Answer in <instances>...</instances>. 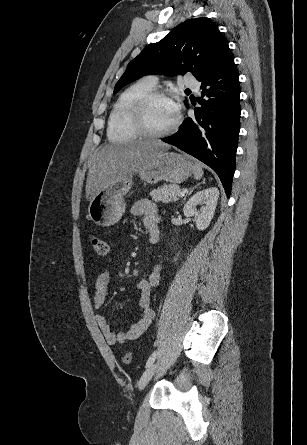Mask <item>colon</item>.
<instances>
[{
    "label": "colon",
    "mask_w": 307,
    "mask_h": 445,
    "mask_svg": "<svg viewBox=\"0 0 307 445\" xmlns=\"http://www.w3.org/2000/svg\"><path fill=\"white\" fill-rule=\"evenodd\" d=\"M91 244L94 248V251L100 256H106L109 252L108 243L100 238L99 236L92 235L91 236ZM122 362L125 364H129L132 360L131 352H125L121 356Z\"/></svg>",
    "instance_id": "5ec220e1"
}]
</instances>
